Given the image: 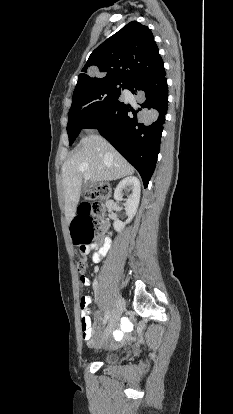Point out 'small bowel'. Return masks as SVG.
<instances>
[{"mask_svg":"<svg viewBox=\"0 0 233 414\" xmlns=\"http://www.w3.org/2000/svg\"><path fill=\"white\" fill-rule=\"evenodd\" d=\"M108 251V241L107 239L104 242L97 241L94 244L87 246L83 250L84 255H91L92 260L95 263L101 261L102 257ZM79 283L82 284V289H88V287L92 286V278L89 277L84 271H81L78 274ZM92 303V299L89 296H83L80 301V308H81V328H82V335L83 339L93 344L94 341V330L91 326V317H90V310L89 307ZM133 325L130 320L126 319L121 323L120 329L115 330L114 332V339L116 342H121L124 338L126 333L131 331Z\"/></svg>","mask_w":233,"mask_h":414,"instance_id":"1","label":"small bowel"}]
</instances>
